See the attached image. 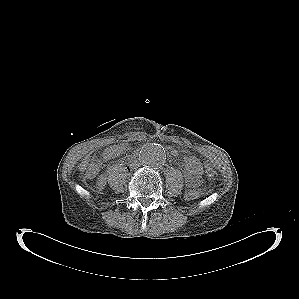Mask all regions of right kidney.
<instances>
[{
  "instance_id": "right-kidney-1",
  "label": "right kidney",
  "mask_w": 299,
  "mask_h": 299,
  "mask_svg": "<svg viewBox=\"0 0 299 299\" xmlns=\"http://www.w3.org/2000/svg\"><path fill=\"white\" fill-rule=\"evenodd\" d=\"M105 181L103 180V178L102 177H100L99 178V182H98V186L100 187V188H103L104 186H105Z\"/></svg>"
}]
</instances>
